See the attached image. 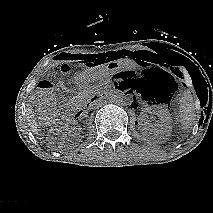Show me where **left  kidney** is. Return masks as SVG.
Returning a JSON list of instances; mask_svg holds the SVG:
<instances>
[{
  "label": "left kidney",
  "mask_w": 213,
  "mask_h": 213,
  "mask_svg": "<svg viewBox=\"0 0 213 213\" xmlns=\"http://www.w3.org/2000/svg\"><path fill=\"white\" fill-rule=\"evenodd\" d=\"M158 117L155 124H151L145 117L139 119L141 130L145 134L153 135L155 137H167L171 132V117L168 110L164 107H158L151 111Z\"/></svg>",
  "instance_id": "left-kidney-1"
}]
</instances>
